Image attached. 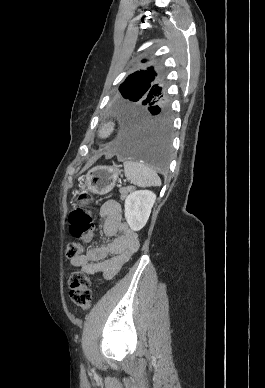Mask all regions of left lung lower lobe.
Returning <instances> with one entry per match:
<instances>
[{"instance_id": "left-lung-lower-lobe-1", "label": "left lung lower lobe", "mask_w": 265, "mask_h": 388, "mask_svg": "<svg viewBox=\"0 0 265 388\" xmlns=\"http://www.w3.org/2000/svg\"><path fill=\"white\" fill-rule=\"evenodd\" d=\"M118 133L109 148L124 158L140 161L158 171L169 163L171 114L168 106L118 110Z\"/></svg>"}]
</instances>
